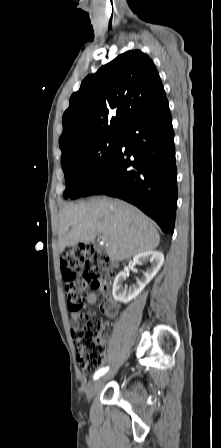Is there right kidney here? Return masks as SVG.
<instances>
[{
  "label": "right kidney",
  "instance_id": "ca27d5eb",
  "mask_svg": "<svg viewBox=\"0 0 221 448\" xmlns=\"http://www.w3.org/2000/svg\"><path fill=\"white\" fill-rule=\"evenodd\" d=\"M148 261L151 263V267H149L147 271L143 273V277L141 279H138L137 283L130 287L129 290L127 286L123 287V282L128 274L124 271L118 273L114 280L112 290V294L115 300L126 304L137 297L139 293H141V291L145 288V286L155 277V275L161 268L164 262V255L160 251L151 250L139 253L133 258V262L139 265Z\"/></svg>",
  "mask_w": 221,
  "mask_h": 448
}]
</instances>
